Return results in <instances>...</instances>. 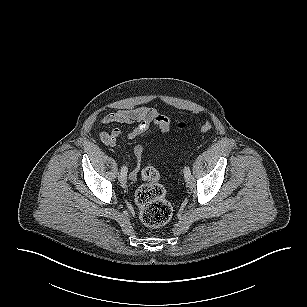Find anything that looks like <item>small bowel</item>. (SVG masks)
I'll return each instance as SVG.
<instances>
[{"instance_id": "small-bowel-1", "label": "small bowel", "mask_w": 307, "mask_h": 307, "mask_svg": "<svg viewBox=\"0 0 307 307\" xmlns=\"http://www.w3.org/2000/svg\"><path fill=\"white\" fill-rule=\"evenodd\" d=\"M102 122L105 125L114 123L135 124L127 134L129 139H134L147 132L152 125L158 127L162 133H168L171 128V121L168 117L162 115L155 109L146 106L111 112L103 118ZM121 133L122 132L119 128L103 131L100 133V140L104 145L113 147L116 145ZM144 151L145 149L143 145H136L133 149L136 166L130 171L129 177L131 180H136L138 177L140 161Z\"/></svg>"}]
</instances>
